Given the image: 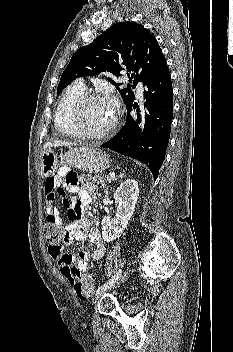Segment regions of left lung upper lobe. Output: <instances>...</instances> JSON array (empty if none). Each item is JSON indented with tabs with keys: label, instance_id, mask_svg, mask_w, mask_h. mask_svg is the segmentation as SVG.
I'll list each match as a JSON object with an SVG mask.
<instances>
[{
	"label": "left lung upper lobe",
	"instance_id": "left-lung-upper-lobe-1",
	"mask_svg": "<svg viewBox=\"0 0 233 352\" xmlns=\"http://www.w3.org/2000/svg\"><path fill=\"white\" fill-rule=\"evenodd\" d=\"M166 59L156 38L143 25L120 22L103 32L95 41L78 49L64 70L58 84L57 95L78 77L99 72L121 76L120 71L132 72V87L139 81L145 83L156 75ZM108 80L119 90L126 107L134 101L131 86L119 89L111 78Z\"/></svg>",
	"mask_w": 233,
	"mask_h": 352
}]
</instances>
